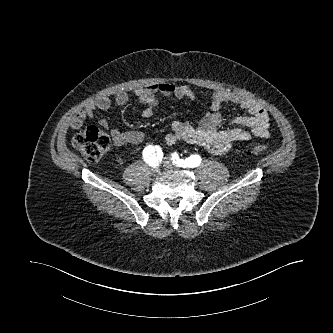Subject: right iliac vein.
Segmentation results:
<instances>
[{
    "label": "right iliac vein",
    "instance_id": "right-iliac-vein-1",
    "mask_svg": "<svg viewBox=\"0 0 333 333\" xmlns=\"http://www.w3.org/2000/svg\"><path fill=\"white\" fill-rule=\"evenodd\" d=\"M152 171H153V173H157L158 172V167H153Z\"/></svg>",
    "mask_w": 333,
    "mask_h": 333
}]
</instances>
